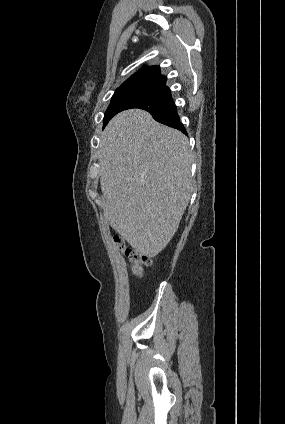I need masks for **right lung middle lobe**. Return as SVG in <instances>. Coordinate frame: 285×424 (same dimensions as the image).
I'll return each instance as SVG.
<instances>
[{
    "label": "right lung middle lobe",
    "instance_id": "right-lung-middle-lobe-1",
    "mask_svg": "<svg viewBox=\"0 0 285 424\" xmlns=\"http://www.w3.org/2000/svg\"><path fill=\"white\" fill-rule=\"evenodd\" d=\"M164 85L155 83H142L122 86L116 89L109 107L104 115V126L117 113L126 109L134 100L141 99L160 90Z\"/></svg>",
    "mask_w": 285,
    "mask_h": 424
}]
</instances>
